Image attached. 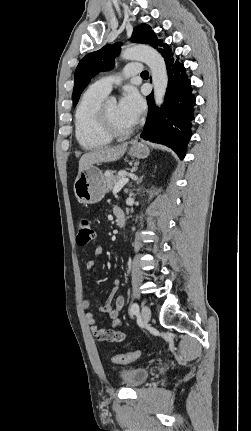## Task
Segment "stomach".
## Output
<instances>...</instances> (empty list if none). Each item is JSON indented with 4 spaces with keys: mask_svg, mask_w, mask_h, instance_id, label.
Returning <instances> with one entry per match:
<instances>
[{
    "mask_svg": "<svg viewBox=\"0 0 251 431\" xmlns=\"http://www.w3.org/2000/svg\"><path fill=\"white\" fill-rule=\"evenodd\" d=\"M129 155L145 158L149 155V147L144 143L134 142L129 149ZM74 193L77 200L83 204H95L102 200L106 193L105 175L95 165H89L78 174L74 182Z\"/></svg>",
    "mask_w": 251,
    "mask_h": 431,
    "instance_id": "obj_1",
    "label": "stomach"
}]
</instances>
